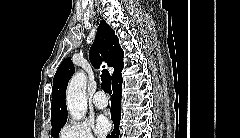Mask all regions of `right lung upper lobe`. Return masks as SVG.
I'll return each instance as SVG.
<instances>
[{"mask_svg": "<svg viewBox=\"0 0 240 138\" xmlns=\"http://www.w3.org/2000/svg\"><path fill=\"white\" fill-rule=\"evenodd\" d=\"M101 53L103 59L109 67H114L112 75V84L122 80L121 71L123 69L124 52L119 45V40L114 30L103 20L97 30L95 41L90 49L89 58L95 68L100 67ZM75 69L70 58H66L58 67L53 79L52 89V126L66 123L67 107L65 103V94L68 81L73 75Z\"/></svg>", "mask_w": 240, "mask_h": 138, "instance_id": "obj_1", "label": "right lung upper lobe"}]
</instances>
